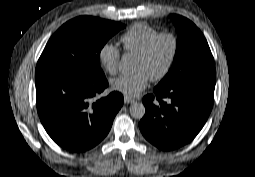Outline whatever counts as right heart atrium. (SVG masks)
<instances>
[{
  "label": "right heart atrium",
  "mask_w": 255,
  "mask_h": 177,
  "mask_svg": "<svg viewBox=\"0 0 255 177\" xmlns=\"http://www.w3.org/2000/svg\"><path fill=\"white\" fill-rule=\"evenodd\" d=\"M98 57L108 74L115 75L117 73L120 61V50L116 45L110 42L103 44L99 49Z\"/></svg>",
  "instance_id": "right-heart-atrium-1"
}]
</instances>
